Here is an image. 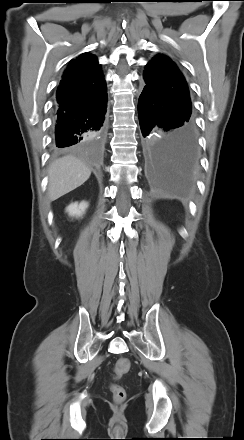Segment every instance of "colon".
<instances>
[{"label": "colon", "instance_id": "obj_1", "mask_svg": "<svg viewBox=\"0 0 244 440\" xmlns=\"http://www.w3.org/2000/svg\"><path fill=\"white\" fill-rule=\"evenodd\" d=\"M129 369V361L126 358H120L115 365L114 368V375L116 378L121 377L123 374H125ZM110 390L113 395V399L117 403H121L126 398V391L125 389L119 385V384H111Z\"/></svg>", "mask_w": 244, "mask_h": 440}]
</instances>
